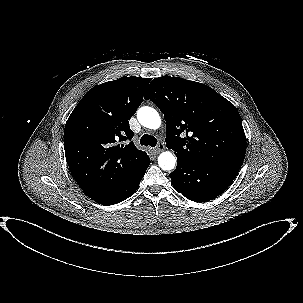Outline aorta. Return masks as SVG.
I'll list each match as a JSON object with an SVG mask.
<instances>
[{"instance_id":"1","label":"aorta","mask_w":303,"mask_h":303,"mask_svg":"<svg viewBox=\"0 0 303 303\" xmlns=\"http://www.w3.org/2000/svg\"><path fill=\"white\" fill-rule=\"evenodd\" d=\"M137 118L140 124L149 129H158L161 125L159 113L152 107L144 106L137 111ZM176 157L169 151L162 152L158 157V165L162 170L174 169Z\"/></svg>"}]
</instances>
